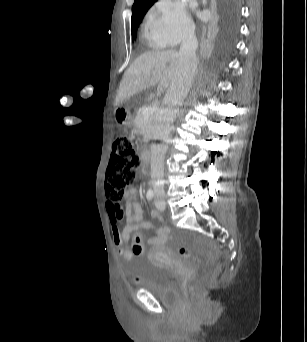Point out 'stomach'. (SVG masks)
Listing matches in <instances>:
<instances>
[{
  "label": "stomach",
  "instance_id": "obj_1",
  "mask_svg": "<svg viewBox=\"0 0 307 342\" xmlns=\"http://www.w3.org/2000/svg\"><path fill=\"white\" fill-rule=\"evenodd\" d=\"M115 118L118 124L124 128H129L132 124L131 115L127 110L118 108L115 110Z\"/></svg>",
  "mask_w": 307,
  "mask_h": 342
}]
</instances>
